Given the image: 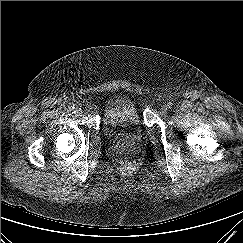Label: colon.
<instances>
[{"label": "colon", "mask_w": 243, "mask_h": 243, "mask_svg": "<svg viewBox=\"0 0 243 243\" xmlns=\"http://www.w3.org/2000/svg\"><path fill=\"white\" fill-rule=\"evenodd\" d=\"M121 165L125 171H133L136 167L135 162L130 158H124L121 161Z\"/></svg>", "instance_id": "1"}]
</instances>
